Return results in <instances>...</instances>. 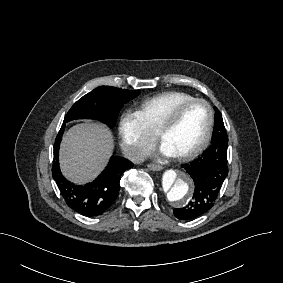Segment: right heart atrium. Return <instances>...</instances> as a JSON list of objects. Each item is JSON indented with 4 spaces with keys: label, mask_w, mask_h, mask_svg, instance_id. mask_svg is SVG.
I'll return each instance as SVG.
<instances>
[{
    "label": "right heart atrium",
    "mask_w": 283,
    "mask_h": 283,
    "mask_svg": "<svg viewBox=\"0 0 283 283\" xmlns=\"http://www.w3.org/2000/svg\"><path fill=\"white\" fill-rule=\"evenodd\" d=\"M117 134L122 152L127 160L138 163L148 154L153 135L143 117L131 108L121 113Z\"/></svg>",
    "instance_id": "right-heart-atrium-1"
}]
</instances>
